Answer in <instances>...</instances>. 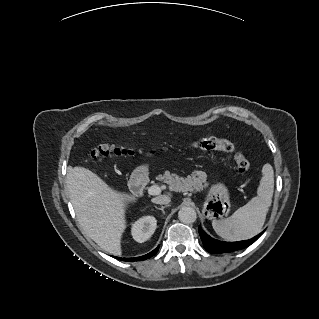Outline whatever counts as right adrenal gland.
<instances>
[{
	"label": "right adrenal gland",
	"mask_w": 319,
	"mask_h": 319,
	"mask_svg": "<svg viewBox=\"0 0 319 319\" xmlns=\"http://www.w3.org/2000/svg\"><path fill=\"white\" fill-rule=\"evenodd\" d=\"M166 207H168V205L162 206L161 208H158L157 206H155V208H156L157 210H161L163 214H165L164 209H165Z\"/></svg>",
	"instance_id": "right-adrenal-gland-1"
}]
</instances>
